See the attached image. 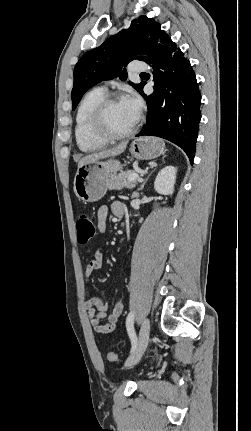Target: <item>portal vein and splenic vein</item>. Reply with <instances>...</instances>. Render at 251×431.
<instances>
[{
	"label": "portal vein and splenic vein",
	"mask_w": 251,
	"mask_h": 431,
	"mask_svg": "<svg viewBox=\"0 0 251 431\" xmlns=\"http://www.w3.org/2000/svg\"><path fill=\"white\" fill-rule=\"evenodd\" d=\"M128 180L133 181V180H142V179L139 178V175L137 173H133L129 176Z\"/></svg>",
	"instance_id": "obj_1"
}]
</instances>
